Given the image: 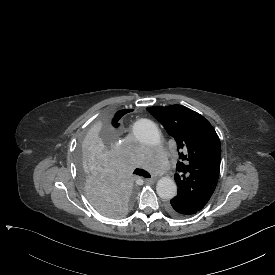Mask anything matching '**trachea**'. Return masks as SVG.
I'll list each match as a JSON object with an SVG mask.
<instances>
[{
  "instance_id": "obj_1",
  "label": "trachea",
  "mask_w": 275,
  "mask_h": 275,
  "mask_svg": "<svg viewBox=\"0 0 275 275\" xmlns=\"http://www.w3.org/2000/svg\"><path fill=\"white\" fill-rule=\"evenodd\" d=\"M133 174L143 176L145 178H150L151 177V175L147 171H145L143 169H139V168L135 169Z\"/></svg>"
}]
</instances>
